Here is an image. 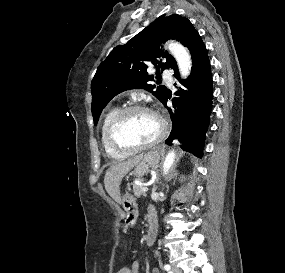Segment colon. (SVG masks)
Returning a JSON list of instances; mask_svg holds the SVG:
<instances>
[{
  "label": "colon",
  "mask_w": 285,
  "mask_h": 273,
  "mask_svg": "<svg viewBox=\"0 0 285 273\" xmlns=\"http://www.w3.org/2000/svg\"><path fill=\"white\" fill-rule=\"evenodd\" d=\"M126 272V269L121 267L118 269L117 273H125Z\"/></svg>",
  "instance_id": "colon-1"
}]
</instances>
